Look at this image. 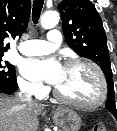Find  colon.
<instances>
[{
  "instance_id": "1",
  "label": "colon",
  "mask_w": 117,
  "mask_h": 131,
  "mask_svg": "<svg viewBox=\"0 0 117 131\" xmlns=\"http://www.w3.org/2000/svg\"><path fill=\"white\" fill-rule=\"evenodd\" d=\"M90 131H107V129L104 124H96Z\"/></svg>"
}]
</instances>
